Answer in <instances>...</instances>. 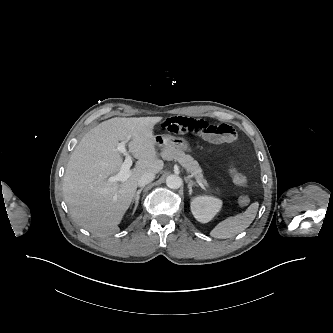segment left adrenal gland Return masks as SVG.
<instances>
[{
  "label": "left adrenal gland",
  "instance_id": "a2214340",
  "mask_svg": "<svg viewBox=\"0 0 333 333\" xmlns=\"http://www.w3.org/2000/svg\"><path fill=\"white\" fill-rule=\"evenodd\" d=\"M185 181L188 183V189H189V195H192V187L193 186H197L195 183H193V181L192 180H190V179H185Z\"/></svg>",
  "mask_w": 333,
  "mask_h": 333
}]
</instances>
